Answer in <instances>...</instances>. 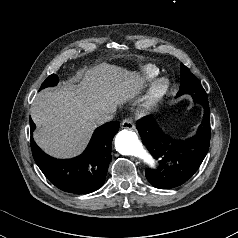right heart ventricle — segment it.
Listing matches in <instances>:
<instances>
[{"mask_svg": "<svg viewBox=\"0 0 238 238\" xmlns=\"http://www.w3.org/2000/svg\"><path fill=\"white\" fill-rule=\"evenodd\" d=\"M143 79H148L156 75L157 69L152 65H146L142 69Z\"/></svg>", "mask_w": 238, "mask_h": 238, "instance_id": "1", "label": "right heart ventricle"}]
</instances>
